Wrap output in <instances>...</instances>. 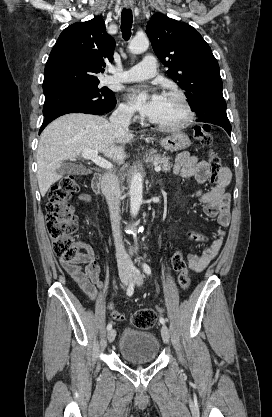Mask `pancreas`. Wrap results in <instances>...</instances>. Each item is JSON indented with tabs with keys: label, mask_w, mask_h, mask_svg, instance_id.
Here are the masks:
<instances>
[{
	"label": "pancreas",
	"mask_w": 272,
	"mask_h": 417,
	"mask_svg": "<svg viewBox=\"0 0 272 417\" xmlns=\"http://www.w3.org/2000/svg\"><path fill=\"white\" fill-rule=\"evenodd\" d=\"M169 160L170 158L161 155H154L151 158L153 163H157L162 166V171L165 173L169 172L172 167V163Z\"/></svg>",
	"instance_id": "1"
}]
</instances>
